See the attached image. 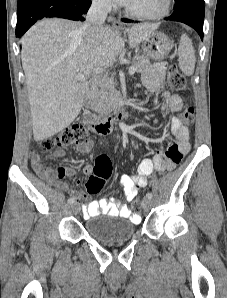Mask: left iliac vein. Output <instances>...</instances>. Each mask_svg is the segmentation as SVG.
I'll return each mask as SVG.
<instances>
[{
    "instance_id": "left-iliac-vein-1",
    "label": "left iliac vein",
    "mask_w": 227,
    "mask_h": 298,
    "mask_svg": "<svg viewBox=\"0 0 227 298\" xmlns=\"http://www.w3.org/2000/svg\"><path fill=\"white\" fill-rule=\"evenodd\" d=\"M142 208L144 211H149L151 208V199L149 198H144L142 201Z\"/></svg>"
}]
</instances>
